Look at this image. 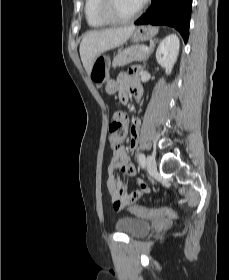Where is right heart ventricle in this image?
<instances>
[{
	"label": "right heart ventricle",
	"mask_w": 229,
	"mask_h": 280,
	"mask_svg": "<svg viewBox=\"0 0 229 280\" xmlns=\"http://www.w3.org/2000/svg\"><path fill=\"white\" fill-rule=\"evenodd\" d=\"M100 0H85L84 14L88 25L95 29L107 27L109 24L104 22L98 15Z\"/></svg>",
	"instance_id": "e07e8e85"
}]
</instances>
